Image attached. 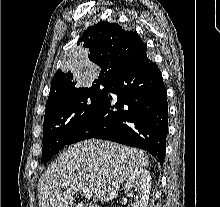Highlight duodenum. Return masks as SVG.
<instances>
[{"instance_id": "1", "label": "duodenum", "mask_w": 220, "mask_h": 207, "mask_svg": "<svg viewBox=\"0 0 220 207\" xmlns=\"http://www.w3.org/2000/svg\"><path fill=\"white\" fill-rule=\"evenodd\" d=\"M76 207H99V206H84V205H77Z\"/></svg>"}]
</instances>
